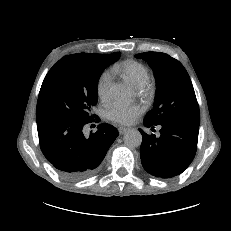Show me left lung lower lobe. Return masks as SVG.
Returning a JSON list of instances; mask_svg holds the SVG:
<instances>
[{
    "label": "left lung lower lobe",
    "mask_w": 231,
    "mask_h": 231,
    "mask_svg": "<svg viewBox=\"0 0 231 231\" xmlns=\"http://www.w3.org/2000/svg\"><path fill=\"white\" fill-rule=\"evenodd\" d=\"M199 123L184 120L158 124L162 127L159 137L139 129L143 137L140 156L144 169L159 178L181 174L196 154ZM144 125L154 128V124L145 119Z\"/></svg>",
    "instance_id": "0a47b994"
}]
</instances>
